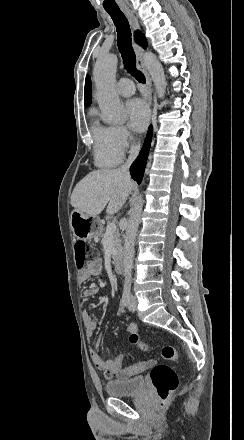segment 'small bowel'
Instances as JSON below:
<instances>
[{
	"mask_svg": "<svg viewBox=\"0 0 244 440\" xmlns=\"http://www.w3.org/2000/svg\"><path fill=\"white\" fill-rule=\"evenodd\" d=\"M102 271V261L97 258L92 260L88 266L81 270L79 273V279L82 283H87L94 277L98 276ZM98 288L97 287H89L83 292V296L85 298H91L97 295ZM86 333L88 337H91L96 329L97 323L90 316L89 313L83 314ZM101 346V339L99 338L96 342V348L90 350V356L96 367L103 371L107 372L110 375L115 376L118 380L126 381L137 377L144 373L152 363L147 361H138L131 366L125 367L124 362L126 357L124 355H119L115 359L106 360L102 357L99 348Z\"/></svg>",
	"mask_w": 244,
	"mask_h": 440,
	"instance_id": "small-bowel-1",
	"label": "small bowel"
}]
</instances>
